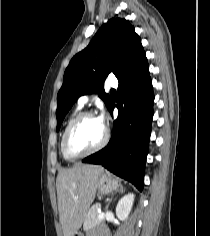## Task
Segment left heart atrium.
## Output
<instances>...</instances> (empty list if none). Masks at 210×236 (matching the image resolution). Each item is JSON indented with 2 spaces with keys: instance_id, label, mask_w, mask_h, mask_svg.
Listing matches in <instances>:
<instances>
[{
  "instance_id": "39dd6f15",
  "label": "left heart atrium",
  "mask_w": 210,
  "mask_h": 236,
  "mask_svg": "<svg viewBox=\"0 0 210 236\" xmlns=\"http://www.w3.org/2000/svg\"><path fill=\"white\" fill-rule=\"evenodd\" d=\"M96 119L103 127H105L106 117H105V114L103 112Z\"/></svg>"
}]
</instances>
